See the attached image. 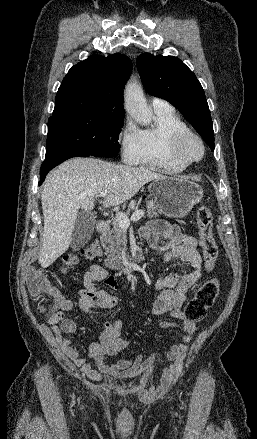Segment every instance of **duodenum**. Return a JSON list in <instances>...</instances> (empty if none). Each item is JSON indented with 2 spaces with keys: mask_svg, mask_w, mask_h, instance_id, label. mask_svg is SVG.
I'll return each mask as SVG.
<instances>
[{
  "mask_svg": "<svg viewBox=\"0 0 257 439\" xmlns=\"http://www.w3.org/2000/svg\"><path fill=\"white\" fill-rule=\"evenodd\" d=\"M98 232L104 236L107 234L109 230V224L105 220H99L97 223ZM137 260H129L125 264L120 266V270L124 272L125 274L131 273L134 271V267L136 265Z\"/></svg>",
  "mask_w": 257,
  "mask_h": 439,
  "instance_id": "duodenum-1",
  "label": "duodenum"
}]
</instances>
